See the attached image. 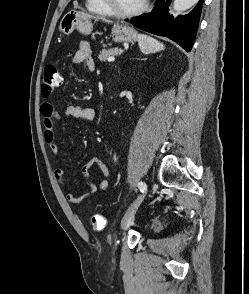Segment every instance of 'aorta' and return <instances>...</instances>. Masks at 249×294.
Here are the masks:
<instances>
[{"label": "aorta", "instance_id": "762f6f07", "mask_svg": "<svg viewBox=\"0 0 249 294\" xmlns=\"http://www.w3.org/2000/svg\"><path fill=\"white\" fill-rule=\"evenodd\" d=\"M198 0H174L173 9L176 12L186 11L194 6Z\"/></svg>", "mask_w": 249, "mask_h": 294}]
</instances>
